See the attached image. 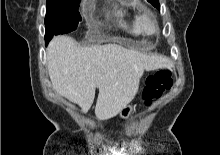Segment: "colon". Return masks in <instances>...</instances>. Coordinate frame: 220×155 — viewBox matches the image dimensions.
<instances>
[{
  "mask_svg": "<svg viewBox=\"0 0 220 155\" xmlns=\"http://www.w3.org/2000/svg\"><path fill=\"white\" fill-rule=\"evenodd\" d=\"M173 80L171 71L162 69L155 74L149 76L143 90V99L147 106L151 105L153 101L157 100L162 94L172 87Z\"/></svg>",
  "mask_w": 220,
  "mask_h": 155,
  "instance_id": "1",
  "label": "colon"
}]
</instances>
